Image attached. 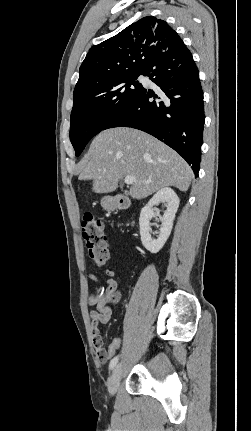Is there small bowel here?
<instances>
[{"mask_svg": "<svg viewBox=\"0 0 251 431\" xmlns=\"http://www.w3.org/2000/svg\"><path fill=\"white\" fill-rule=\"evenodd\" d=\"M104 274L106 276V291L103 292H93L88 297V303L91 306H95L96 309L90 312L91 319V330L93 344L96 349L95 357L98 359L100 367H105L109 363V358L107 357L108 350L103 348V340L99 333V325L107 324L112 315V309L110 304L115 298L116 291L118 289L119 278L113 269H105ZM89 279L95 285L96 289L101 287V282L94 274H89Z\"/></svg>", "mask_w": 251, "mask_h": 431, "instance_id": "obj_1", "label": "small bowel"}]
</instances>
